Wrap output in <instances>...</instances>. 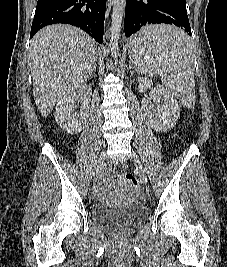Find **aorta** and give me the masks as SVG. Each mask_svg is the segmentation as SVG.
I'll return each mask as SVG.
<instances>
[{
  "mask_svg": "<svg viewBox=\"0 0 227 267\" xmlns=\"http://www.w3.org/2000/svg\"><path fill=\"white\" fill-rule=\"evenodd\" d=\"M126 0H113L112 22L110 28V49L113 57H117L118 41L122 27Z\"/></svg>",
  "mask_w": 227,
  "mask_h": 267,
  "instance_id": "762f6f07",
  "label": "aorta"
}]
</instances>
